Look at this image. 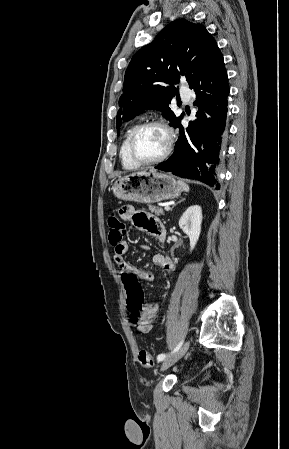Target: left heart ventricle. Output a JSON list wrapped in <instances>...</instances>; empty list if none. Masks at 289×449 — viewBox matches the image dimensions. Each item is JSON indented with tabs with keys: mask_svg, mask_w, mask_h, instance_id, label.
<instances>
[{
	"mask_svg": "<svg viewBox=\"0 0 289 449\" xmlns=\"http://www.w3.org/2000/svg\"><path fill=\"white\" fill-rule=\"evenodd\" d=\"M167 145L165 132L157 126L146 127L140 131L135 141V152L144 161L159 157Z\"/></svg>",
	"mask_w": 289,
	"mask_h": 449,
	"instance_id": "obj_1",
	"label": "left heart ventricle"
}]
</instances>
